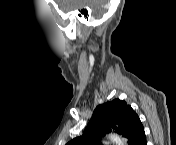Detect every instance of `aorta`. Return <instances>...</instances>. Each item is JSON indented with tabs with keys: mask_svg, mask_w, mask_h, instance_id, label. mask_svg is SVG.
<instances>
[{
	"mask_svg": "<svg viewBox=\"0 0 176 145\" xmlns=\"http://www.w3.org/2000/svg\"><path fill=\"white\" fill-rule=\"evenodd\" d=\"M108 138L110 140H112L113 142H115L117 145H122L123 144V141L121 140V138L117 134H110L108 136Z\"/></svg>",
	"mask_w": 176,
	"mask_h": 145,
	"instance_id": "762f6f07",
	"label": "aorta"
}]
</instances>
